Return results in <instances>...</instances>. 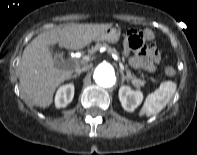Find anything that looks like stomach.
Masks as SVG:
<instances>
[{
  "mask_svg": "<svg viewBox=\"0 0 197 155\" xmlns=\"http://www.w3.org/2000/svg\"><path fill=\"white\" fill-rule=\"evenodd\" d=\"M121 32L117 28H109L102 32L95 41H105L109 43H116L120 39Z\"/></svg>",
  "mask_w": 197,
  "mask_h": 155,
  "instance_id": "obj_1",
  "label": "stomach"
}]
</instances>
